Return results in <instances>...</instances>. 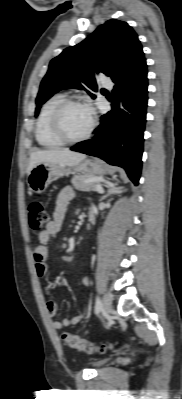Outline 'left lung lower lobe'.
<instances>
[{"label": "left lung lower lobe", "mask_w": 182, "mask_h": 399, "mask_svg": "<svg viewBox=\"0 0 182 399\" xmlns=\"http://www.w3.org/2000/svg\"><path fill=\"white\" fill-rule=\"evenodd\" d=\"M147 86L145 61L126 79L115 84L113 109L100 117L94 137L71 148L124 168L135 185H138L142 166Z\"/></svg>", "instance_id": "left-lung-lower-lobe-1"}]
</instances>
